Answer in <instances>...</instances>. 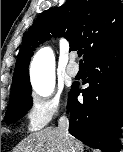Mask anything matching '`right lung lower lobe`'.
Segmentation results:
<instances>
[{
  "label": "right lung lower lobe",
  "instance_id": "98d812e1",
  "mask_svg": "<svg viewBox=\"0 0 123 152\" xmlns=\"http://www.w3.org/2000/svg\"><path fill=\"white\" fill-rule=\"evenodd\" d=\"M89 87L79 102L78 85H73L67 109L71 114L69 132L86 145L103 152H115L123 114V35L86 60Z\"/></svg>",
  "mask_w": 123,
  "mask_h": 152
}]
</instances>
